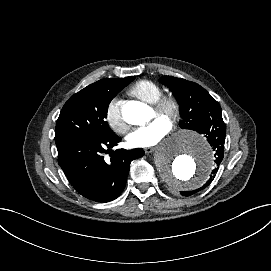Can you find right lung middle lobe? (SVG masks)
Wrapping results in <instances>:
<instances>
[{"label":"right lung middle lobe","mask_w":271,"mask_h":271,"mask_svg":"<svg viewBox=\"0 0 271 271\" xmlns=\"http://www.w3.org/2000/svg\"><path fill=\"white\" fill-rule=\"evenodd\" d=\"M134 77L101 79L74 94L63 106L56 123V144L77 136L114 134L105 118L108 105Z\"/></svg>","instance_id":"right-lung-middle-lobe-1"}]
</instances>
